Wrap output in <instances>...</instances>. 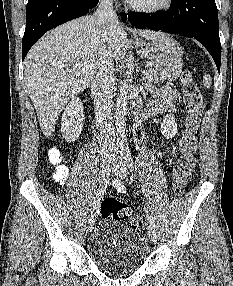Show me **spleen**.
<instances>
[{
  "label": "spleen",
  "mask_w": 233,
  "mask_h": 286,
  "mask_svg": "<svg viewBox=\"0 0 233 286\" xmlns=\"http://www.w3.org/2000/svg\"><path fill=\"white\" fill-rule=\"evenodd\" d=\"M212 84V79L211 76L209 74L205 75L203 77V85L205 88H210Z\"/></svg>",
  "instance_id": "1"
}]
</instances>
